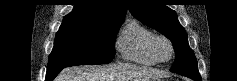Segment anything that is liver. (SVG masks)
I'll return each instance as SVG.
<instances>
[{
    "label": "liver",
    "mask_w": 237,
    "mask_h": 81,
    "mask_svg": "<svg viewBox=\"0 0 237 81\" xmlns=\"http://www.w3.org/2000/svg\"><path fill=\"white\" fill-rule=\"evenodd\" d=\"M163 76L155 69L84 65L64 69L57 81H153Z\"/></svg>",
    "instance_id": "1"
}]
</instances>
